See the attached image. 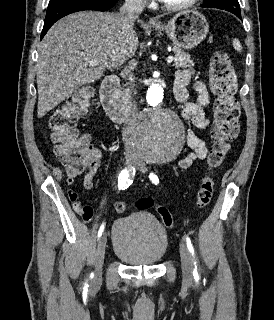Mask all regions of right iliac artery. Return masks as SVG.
I'll use <instances>...</instances> for the list:
<instances>
[{"label": "right iliac artery", "instance_id": "right-iliac-artery-1", "mask_svg": "<svg viewBox=\"0 0 274 320\" xmlns=\"http://www.w3.org/2000/svg\"><path fill=\"white\" fill-rule=\"evenodd\" d=\"M134 175H135V168L122 170L118 177L119 189L125 190L126 188H128L132 183V178L134 177ZM104 227H105V223H102L98 231V238L101 237L104 231Z\"/></svg>", "mask_w": 274, "mask_h": 320}]
</instances>
